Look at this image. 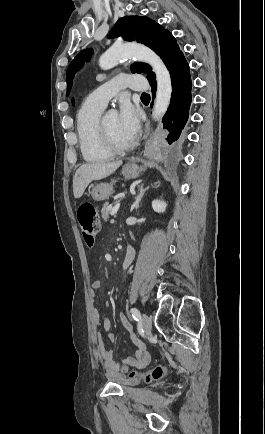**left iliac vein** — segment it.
I'll return each instance as SVG.
<instances>
[{
    "label": "left iliac vein",
    "mask_w": 265,
    "mask_h": 434,
    "mask_svg": "<svg viewBox=\"0 0 265 434\" xmlns=\"http://www.w3.org/2000/svg\"><path fill=\"white\" fill-rule=\"evenodd\" d=\"M141 321H142V328H143L144 332L146 334H149L150 330L152 328V323H151L149 316H147L146 314L143 313V315L141 317Z\"/></svg>",
    "instance_id": "left-iliac-vein-1"
}]
</instances>
